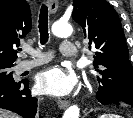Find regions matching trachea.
I'll return each mask as SVG.
<instances>
[{
	"label": "trachea",
	"mask_w": 133,
	"mask_h": 118,
	"mask_svg": "<svg viewBox=\"0 0 133 118\" xmlns=\"http://www.w3.org/2000/svg\"><path fill=\"white\" fill-rule=\"evenodd\" d=\"M39 32H40V42L44 45L49 38L48 33V8L46 5H42L39 15Z\"/></svg>",
	"instance_id": "1"
}]
</instances>
